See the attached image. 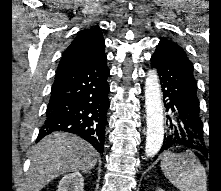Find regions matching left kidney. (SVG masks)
<instances>
[{
  "instance_id": "1",
  "label": "left kidney",
  "mask_w": 221,
  "mask_h": 191,
  "mask_svg": "<svg viewBox=\"0 0 221 191\" xmlns=\"http://www.w3.org/2000/svg\"><path fill=\"white\" fill-rule=\"evenodd\" d=\"M156 191H164L163 189H158V190H156Z\"/></svg>"
}]
</instances>
